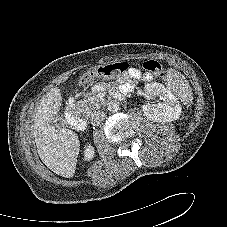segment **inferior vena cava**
Listing matches in <instances>:
<instances>
[{"mask_svg": "<svg viewBox=\"0 0 227 227\" xmlns=\"http://www.w3.org/2000/svg\"><path fill=\"white\" fill-rule=\"evenodd\" d=\"M105 119V113L101 110L92 112L90 115V121L92 125H99Z\"/></svg>", "mask_w": 227, "mask_h": 227, "instance_id": "inferior-vena-cava-1", "label": "inferior vena cava"}]
</instances>
